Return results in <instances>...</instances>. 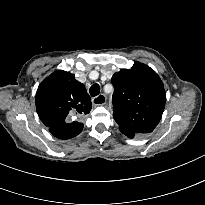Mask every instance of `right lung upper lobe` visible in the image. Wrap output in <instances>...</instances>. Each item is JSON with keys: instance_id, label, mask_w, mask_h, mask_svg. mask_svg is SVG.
Masks as SVG:
<instances>
[{"instance_id": "1", "label": "right lung upper lobe", "mask_w": 205, "mask_h": 205, "mask_svg": "<svg viewBox=\"0 0 205 205\" xmlns=\"http://www.w3.org/2000/svg\"><path fill=\"white\" fill-rule=\"evenodd\" d=\"M35 103L39 118L59 139L78 135L83 124L76 120L88 114L92 107L85 86L63 70L53 72L41 82Z\"/></svg>"}]
</instances>
